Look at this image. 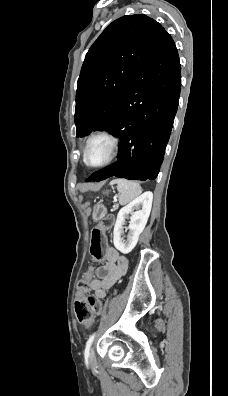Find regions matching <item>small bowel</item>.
<instances>
[{"label": "small bowel", "mask_w": 228, "mask_h": 396, "mask_svg": "<svg viewBox=\"0 0 228 396\" xmlns=\"http://www.w3.org/2000/svg\"><path fill=\"white\" fill-rule=\"evenodd\" d=\"M105 259V264L97 270V277L90 282V290L98 299L106 298L108 291L125 275L128 269L127 258L119 255L113 248L107 249Z\"/></svg>", "instance_id": "1"}]
</instances>
